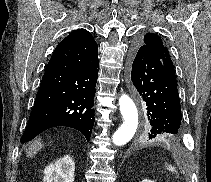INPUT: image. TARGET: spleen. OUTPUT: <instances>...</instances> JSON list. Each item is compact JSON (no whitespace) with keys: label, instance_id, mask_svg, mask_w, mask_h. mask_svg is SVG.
Listing matches in <instances>:
<instances>
[{"label":"spleen","instance_id":"3e777b00","mask_svg":"<svg viewBox=\"0 0 211 182\" xmlns=\"http://www.w3.org/2000/svg\"><path fill=\"white\" fill-rule=\"evenodd\" d=\"M166 168H167L169 171H171L172 173L176 172V168H175L174 166H172V165L167 164V165H166Z\"/></svg>","mask_w":211,"mask_h":182}]
</instances>
